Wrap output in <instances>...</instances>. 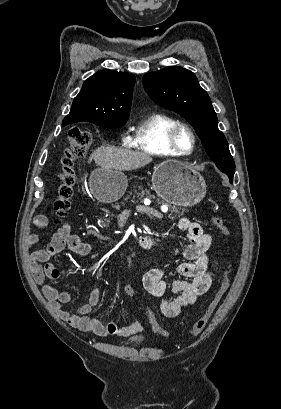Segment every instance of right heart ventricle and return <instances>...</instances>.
Here are the masks:
<instances>
[{
  "instance_id": "obj_1",
  "label": "right heart ventricle",
  "mask_w": 281,
  "mask_h": 409,
  "mask_svg": "<svg viewBox=\"0 0 281 409\" xmlns=\"http://www.w3.org/2000/svg\"><path fill=\"white\" fill-rule=\"evenodd\" d=\"M182 122L165 112H153L133 129L127 146L144 155L169 158L179 156L171 145V134Z\"/></svg>"
}]
</instances>
